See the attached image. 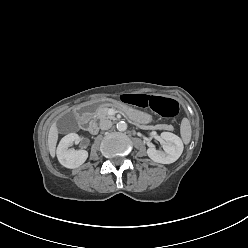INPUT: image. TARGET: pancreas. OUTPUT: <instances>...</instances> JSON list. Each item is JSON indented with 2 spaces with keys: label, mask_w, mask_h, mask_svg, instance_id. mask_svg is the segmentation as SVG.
Returning a JSON list of instances; mask_svg holds the SVG:
<instances>
[{
  "label": "pancreas",
  "mask_w": 248,
  "mask_h": 248,
  "mask_svg": "<svg viewBox=\"0 0 248 248\" xmlns=\"http://www.w3.org/2000/svg\"><path fill=\"white\" fill-rule=\"evenodd\" d=\"M115 106H116V104L110 103V104H105V105L99 107V109L96 112L95 118L99 119V120L113 119L114 117L110 116L108 114V109H109V107H115ZM140 127L144 128V129L150 128L149 126H146V125H141ZM152 128L173 130V126H171V125H158V126H155Z\"/></svg>",
  "instance_id": "pancreas-1"
}]
</instances>
